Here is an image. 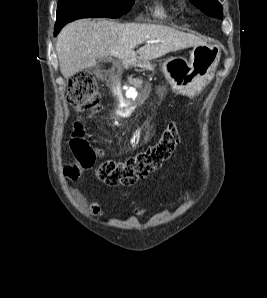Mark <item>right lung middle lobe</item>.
Listing matches in <instances>:
<instances>
[{"instance_id":"obj_1","label":"right lung middle lobe","mask_w":267,"mask_h":298,"mask_svg":"<svg viewBox=\"0 0 267 298\" xmlns=\"http://www.w3.org/2000/svg\"><path fill=\"white\" fill-rule=\"evenodd\" d=\"M134 0H59L56 24L65 25L79 18H117L129 12Z\"/></svg>"}]
</instances>
